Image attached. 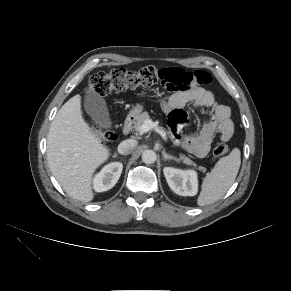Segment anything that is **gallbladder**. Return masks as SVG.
I'll list each match as a JSON object with an SVG mask.
<instances>
[{
    "instance_id": "1",
    "label": "gallbladder",
    "mask_w": 291,
    "mask_h": 291,
    "mask_svg": "<svg viewBox=\"0 0 291 291\" xmlns=\"http://www.w3.org/2000/svg\"><path fill=\"white\" fill-rule=\"evenodd\" d=\"M84 110L94 124L105 129L112 127L106 102L99 94L88 92L85 95Z\"/></svg>"
}]
</instances>
